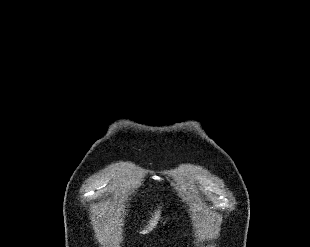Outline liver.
Instances as JSON below:
<instances>
[{"instance_id": "obj_1", "label": "liver", "mask_w": 310, "mask_h": 247, "mask_svg": "<svg viewBox=\"0 0 310 247\" xmlns=\"http://www.w3.org/2000/svg\"><path fill=\"white\" fill-rule=\"evenodd\" d=\"M159 215H160V210H158V211L155 212V215H154L153 218L149 221L150 226H148V228H146V230H143V231H142L143 233L146 232L148 229H150L151 226H153L154 224L157 223Z\"/></svg>"}]
</instances>
